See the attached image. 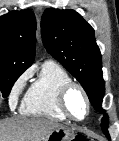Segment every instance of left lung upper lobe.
I'll list each match as a JSON object with an SVG mask.
<instances>
[{"label":"left lung upper lobe","mask_w":119,"mask_h":141,"mask_svg":"<svg viewBox=\"0 0 119 141\" xmlns=\"http://www.w3.org/2000/svg\"><path fill=\"white\" fill-rule=\"evenodd\" d=\"M41 33L47 51L80 82L93 107L104 114L102 56L94 29L74 10L48 8L42 15Z\"/></svg>","instance_id":"obj_1"}]
</instances>
